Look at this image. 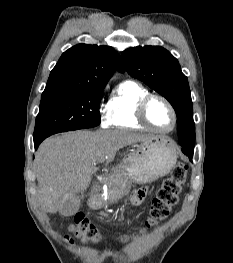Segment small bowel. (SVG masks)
Returning <instances> with one entry per match:
<instances>
[{
    "label": "small bowel",
    "mask_w": 233,
    "mask_h": 263,
    "mask_svg": "<svg viewBox=\"0 0 233 263\" xmlns=\"http://www.w3.org/2000/svg\"><path fill=\"white\" fill-rule=\"evenodd\" d=\"M145 196H146V189L139 188L135 190L134 193L132 194L131 201L133 204L139 205L143 201Z\"/></svg>",
    "instance_id": "1"
}]
</instances>
